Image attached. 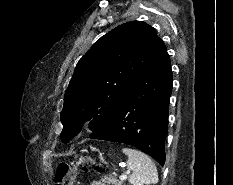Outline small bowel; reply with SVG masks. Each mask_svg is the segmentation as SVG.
<instances>
[{
	"label": "small bowel",
	"mask_w": 233,
	"mask_h": 185,
	"mask_svg": "<svg viewBox=\"0 0 233 185\" xmlns=\"http://www.w3.org/2000/svg\"><path fill=\"white\" fill-rule=\"evenodd\" d=\"M90 185H105V184L100 182V181H93V182H91Z\"/></svg>",
	"instance_id": "c3829d8e"
}]
</instances>
